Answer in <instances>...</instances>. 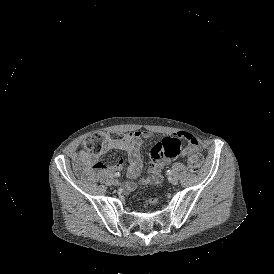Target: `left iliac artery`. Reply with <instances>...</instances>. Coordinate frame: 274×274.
Returning <instances> with one entry per match:
<instances>
[{"mask_svg": "<svg viewBox=\"0 0 274 274\" xmlns=\"http://www.w3.org/2000/svg\"><path fill=\"white\" fill-rule=\"evenodd\" d=\"M166 174H167L168 176H171V175L173 174V171L169 169V170H167Z\"/></svg>", "mask_w": 274, "mask_h": 274, "instance_id": "obj_1", "label": "left iliac artery"}]
</instances>
